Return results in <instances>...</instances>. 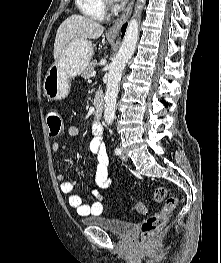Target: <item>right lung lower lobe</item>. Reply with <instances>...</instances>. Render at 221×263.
<instances>
[{
	"label": "right lung lower lobe",
	"instance_id": "right-lung-lower-lobe-1",
	"mask_svg": "<svg viewBox=\"0 0 221 263\" xmlns=\"http://www.w3.org/2000/svg\"><path fill=\"white\" fill-rule=\"evenodd\" d=\"M126 26H127V24H125V25L122 27V37H123L124 34H125Z\"/></svg>",
	"mask_w": 221,
	"mask_h": 263
}]
</instances>
